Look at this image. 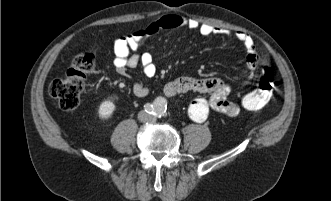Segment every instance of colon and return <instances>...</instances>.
I'll return each mask as SVG.
<instances>
[{"label": "colon", "mask_w": 331, "mask_h": 201, "mask_svg": "<svg viewBox=\"0 0 331 201\" xmlns=\"http://www.w3.org/2000/svg\"><path fill=\"white\" fill-rule=\"evenodd\" d=\"M95 68V59L92 53H82L74 58L71 67L60 78L53 80L49 86V94L58 101L63 110H74L81 102L85 91L87 76ZM275 83V70L269 63L260 67V76L257 87L244 95L240 101L246 110H259L270 101Z\"/></svg>", "instance_id": "5ec220e1"}]
</instances>
